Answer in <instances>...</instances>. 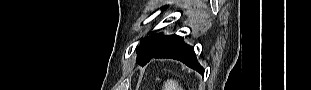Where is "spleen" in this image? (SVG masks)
Here are the masks:
<instances>
[{
  "instance_id": "1",
  "label": "spleen",
  "mask_w": 311,
  "mask_h": 90,
  "mask_svg": "<svg viewBox=\"0 0 311 90\" xmlns=\"http://www.w3.org/2000/svg\"><path fill=\"white\" fill-rule=\"evenodd\" d=\"M164 89L165 90H180L181 88H179L177 81L171 79L165 82Z\"/></svg>"
}]
</instances>
